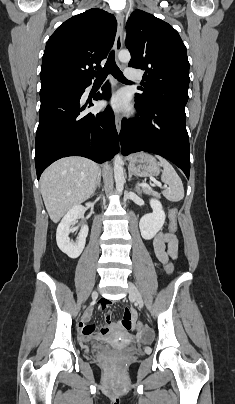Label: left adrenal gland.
<instances>
[{"label":"left adrenal gland","instance_id":"a2214340","mask_svg":"<svg viewBox=\"0 0 235 404\" xmlns=\"http://www.w3.org/2000/svg\"><path fill=\"white\" fill-rule=\"evenodd\" d=\"M128 177H129V181H130L132 178V173L130 171L128 172Z\"/></svg>","mask_w":235,"mask_h":404}]
</instances>
